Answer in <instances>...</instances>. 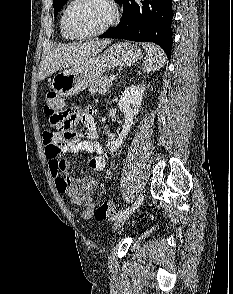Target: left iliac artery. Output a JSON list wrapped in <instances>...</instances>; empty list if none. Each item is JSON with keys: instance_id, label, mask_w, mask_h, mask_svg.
Segmentation results:
<instances>
[{"instance_id": "44dca946", "label": "left iliac artery", "mask_w": 233, "mask_h": 294, "mask_svg": "<svg viewBox=\"0 0 233 294\" xmlns=\"http://www.w3.org/2000/svg\"><path fill=\"white\" fill-rule=\"evenodd\" d=\"M143 201V195L141 194L138 198L137 201H135L130 207L126 208L124 211H121L117 214H115L113 217H112V220H117L119 219L120 217H122L123 215L125 214H128V213H131V212H134L135 209H137L140 204L142 203Z\"/></svg>"}]
</instances>
